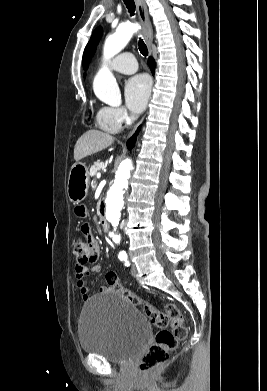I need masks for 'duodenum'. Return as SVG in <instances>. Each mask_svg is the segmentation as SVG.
Returning a JSON list of instances; mask_svg holds the SVG:
<instances>
[{"mask_svg":"<svg viewBox=\"0 0 267 391\" xmlns=\"http://www.w3.org/2000/svg\"><path fill=\"white\" fill-rule=\"evenodd\" d=\"M100 225L105 230L108 228V223L103 213V206H100Z\"/></svg>","mask_w":267,"mask_h":391,"instance_id":"1","label":"duodenum"}]
</instances>
